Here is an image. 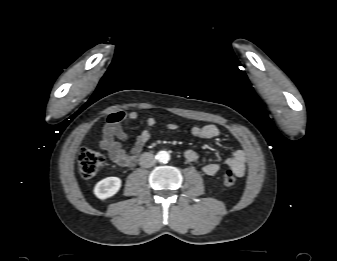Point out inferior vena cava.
<instances>
[{"instance_id": "obj_1", "label": "inferior vena cava", "mask_w": 337, "mask_h": 261, "mask_svg": "<svg viewBox=\"0 0 337 261\" xmlns=\"http://www.w3.org/2000/svg\"><path fill=\"white\" fill-rule=\"evenodd\" d=\"M156 159L152 153L145 152L139 158V164L142 167L149 168L155 165Z\"/></svg>"}]
</instances>
